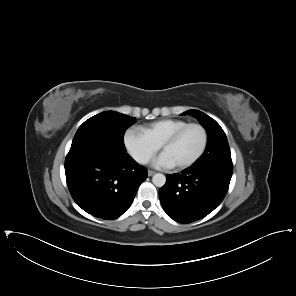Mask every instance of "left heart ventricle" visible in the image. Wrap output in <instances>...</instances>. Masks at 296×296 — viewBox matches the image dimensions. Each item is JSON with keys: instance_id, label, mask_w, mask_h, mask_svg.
<instances>
[{"instance_id": "1", "label": "left heart ventricle", "mask_w": 296, "mask_h": 296, "mask_svg": "<svg viewBox=\"0 0 296 296\" xmlns=\"http://www.w3.org/2000/svg\"><path fill=\"white\" fill-rule=\"evenodd\" d=\"M202 142V131L197 127H192L185 131L164 153L174 164L182 163L191 159L199 151Z\"/></svg>"}]
</instances>
